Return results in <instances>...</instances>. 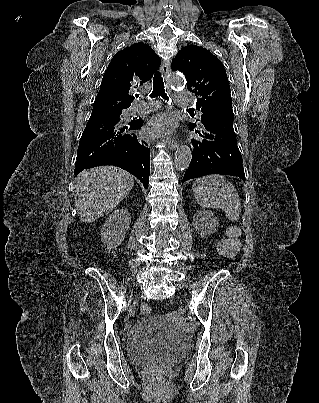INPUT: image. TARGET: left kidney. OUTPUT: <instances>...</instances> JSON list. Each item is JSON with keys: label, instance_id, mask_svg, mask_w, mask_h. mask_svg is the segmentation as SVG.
I'll return each mask as SVG.
<instances>
[{"label": "left kidney", "instance_id": "5707ae66", "mask_svg": "<svg viewBox=\"0 0 319 403\" xmlns=\"http://www.w3.org/2000/svg\"><path fill=\"white\" fill-rule=\"evenodd\" d=\"M195 225L203 235L216 231L217 218L209 211H198L195 215Z\"/></svg>", "mask_w": 319, "mask_h": 403}]
</instances>
